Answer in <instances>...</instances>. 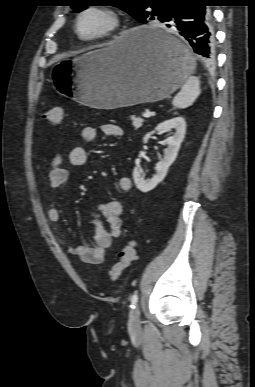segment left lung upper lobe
I'll use <instances>...</instances> for the list:
<instances>
[{
  "label": "left lung upper lobe",
  "instance_id": "obj_1",
  "mask_svg": "<svg viewBox=\"0 0 255 387\" xmlns=\"http://www.w3.org/2000/svg\"><path fill=\"white\" fill-rule=\"evenodd\" d=\"M176 1L178 0H101L100 2L120 7L136 20L147 24L152 20L160 21L166 15L169 5ZM74 2L72 9L80 12L94 3V0H74Z\"/></svg>",
  "mask_w": 255,
  "mask_h": 387
}]
</instances>
